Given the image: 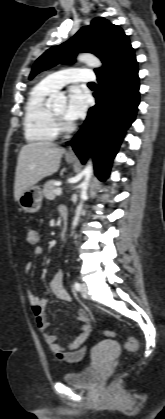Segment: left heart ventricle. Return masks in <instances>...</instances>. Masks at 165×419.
<instances>
[{
	"label": "left heart ventricle",
	"mask_w": 165,
	"mask_h": 419,
	"mask_svg": "<svg viewBox=\"0 0 165 419\" xmlns=\"http://www.w3.org/2000/svg\"><path fill=\"white\" fill-rule=\"evenodd\" d=\"M55 113H57L60 116H63L65 113V105H62L56 109H54Z\"/></svg>",
	"instance_id": "1"
}]
</instances>
